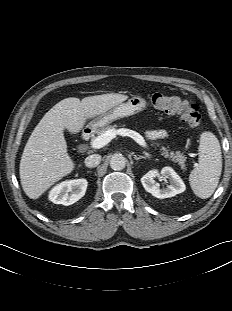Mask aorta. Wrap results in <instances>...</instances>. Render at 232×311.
<instances>
[{
	"label": "aorta",
	"mask_w": 232,
	"mask_h": 311,
	"mask_svg": "<svg viewBox=\"0 0 232 311\" xmlns=\"http://www.w3.org/2000/svg\"><path fill=\"white\" fill-rule=\"evenodd\" d=\"M126 166V158L122 154H114L110 159V167L113 170H122Z\"/></svg>",
	"instance_id": "obj_1"
}]
</instances>
